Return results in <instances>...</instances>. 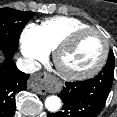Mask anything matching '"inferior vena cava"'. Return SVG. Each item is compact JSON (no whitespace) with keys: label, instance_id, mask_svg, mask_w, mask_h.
<instances>
[{"label":"inferior vena cava","instance_id":"inferior-vena-cava-1","mask_svg":"<svg viewBox=\"0 0 117 117\" xmlns=\"http://www.w3.org/2000/svg\"><path fill=\"white\" fill-rule=\"evenodd\" d=\"M17 67L24 73H34L41 69V64L30 58H19L17 60Z\"/></svg>","mask_w":117,"mask_h":117}]
</instances>
